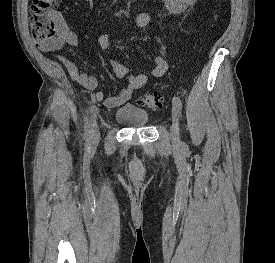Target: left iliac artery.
<instances>
[{"mask_svg": "<svg viewBox=\"0 0 275 263\" xmlns=\"http://www.w3.org/2000/svg\"><path fill=\"white\" fill-rule=\"evenodd\" d=\"M172 102H173L174 109L177 111V113L179 115H181V112H182V102H181L180 98L174 97Z\"/></svg>", "mask_w": 275, "mask_h": 263, "instance_id": "44dca946", "label": "left iliac artery"}]
</instances>
